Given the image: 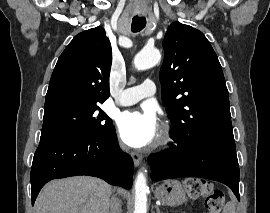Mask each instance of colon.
<instances>
[{"label": "colon", "instance_id": "colon-1", "mask_svg": "<svg viewBox=\"0 0 270 213\" xmlns=\"http://www.w3.org/2000/svg\"><path fill=\"white\" fill-rule=\"evenodd\" d=\"M186 194L191 198H203L205 213H221L225 196L222 190L214 188L204 179L190 178L184 183Z\"/></svg>", "mask_w": 270, "mask_h": 213}]
</instances>
